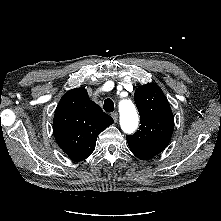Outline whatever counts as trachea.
<instances>
[{"label":"trachea","mask_w":221,"mask_h":221,"mask_svg":"<svg viewBox=\"0 0 221 221\" xmlns=\"http://www.w3.org/2000/svg\"><path fill=\"white\" fill-rule=\"evenodd\" d=\"M104 110L106 112H113L114 111V103L113 101L110 99V98H107L105 101H104V106H103Z\"/></svg>","instance_id":"trachea-1"}]
</instances>
